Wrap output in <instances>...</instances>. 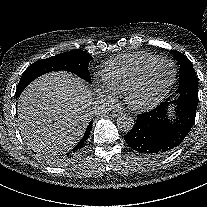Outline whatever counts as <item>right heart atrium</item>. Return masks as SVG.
Returning <instances> with one entry per match:
<instances>
[{"label": "right heart atrium", "instance_id": "obj_1", "mask_svg": "<svg viewBox=\"0 0 207 207\" xmlns=\"http://www.w3.org/2000/svg\"><path fill=\"white\" fill-rule=\"evenodd\" d=\"M95 92L99 97H101L103 99H110L111 98V95L106 90V88L104 86L99 85V84H97L95 86Z\"/></svg>", "mask_w": 207, "mask_h": 207}]
</instances>
